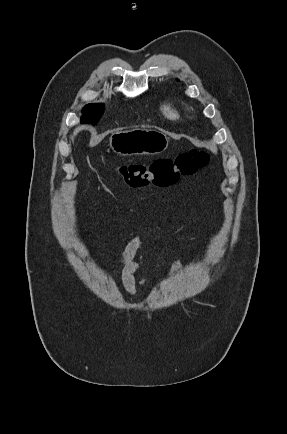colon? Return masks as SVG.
<instances>
[{
	"instance_id": "1",
	"label": "colon",
	"mask_w": 287,
	"mask_h": 434,
	"mask_svg": "<svg viewBox=\"0 0 287 434\" xmlns=\"http://www.w3.org/2000/svg\"><path fill=\"white\" fill-rule=\"evenodd\" d=\"M208 163L209 156L205 151L192 149L177 155L173 160L159 159L149 165H124L118 171L125 184L130 187H167L175 184L180 177L193 175Z\"/></svg>"
}]
</instances>
